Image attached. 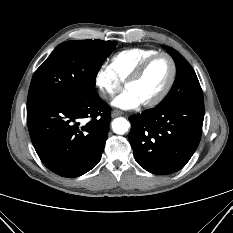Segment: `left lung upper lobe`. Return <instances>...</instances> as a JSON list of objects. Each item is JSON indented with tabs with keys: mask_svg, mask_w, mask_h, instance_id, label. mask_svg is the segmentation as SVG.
<instances>
[{
	"mask_svg": "<svg viewBox=\"0 0 233 233\" xmlns=\"http://www.w3.org/2000/svg\"><path fill=\"white\" fill-rule=\"evenodd\" d=\"M165 49L174 59L177 74L170 92L156 107L181 101L203 102L202 89L191 65L173 48L165 46Z\"/></svg>",
	"mask_w": 233,
	"mask_h": 233,
	"instance_id": "1",
	"label": "left lung upper lobe"
}]
</instances>
